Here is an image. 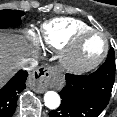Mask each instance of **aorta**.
Returning <instances> with one entry per match:
<instances>
[{
	"label": "aorta",
	"instance_id": "aorta-1",
	"mask_svg": "<svg viewBox=\"0 0 117 117\" xmlns=\"http://www.w3.org/2000/svg\"><path fill=\"white\" fill-rule=\"evenodd\" d=\"M45 106L49 109H57L60 106L61 98L55 91H47L44 95Z\"/></svg>",
	"mask_w": 117,
	"mask_h": 117
}]
</instances>
